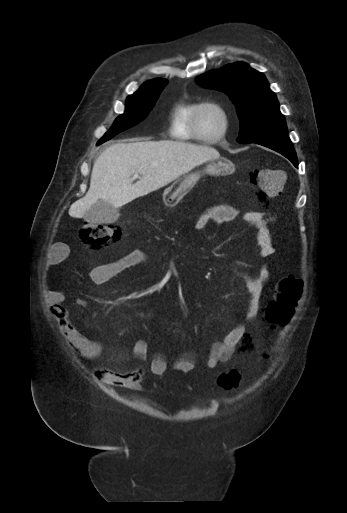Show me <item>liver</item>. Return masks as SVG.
<instances>
[{
    "instance_id": "liver-1",
    "label": "liver",
    "mask_w": 347,
    "mask_h": 513,
    "mask_svg": "<svg viewBox=\"0 0 347 513\" xmlns=\"http://www.w3.org/2000/svg\"><path fill=\"white\" fill-rule=\"evenodd\" d=\"M219 156L209 146L171 140L112 144L95 161L89 190L70 206L69 215L82 218L99 199L119 208ZM133 174L141 175L134 184Z\"/></svg>"
}]
</instances>
